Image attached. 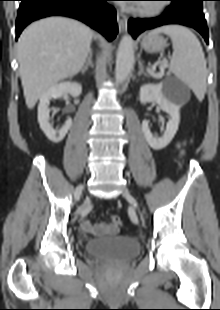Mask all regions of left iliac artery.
Here are the masks:
<instances>
[{"instance_id": "1", "label": "left iliac artery", "mask_w": 220, "mask_h": 310, "mask_svg": "<svg viewBox=\"0 0 220 310\" xmlns=\"http://www.w3.org/2000/svg\"><path fill=\"white\" fill-rule=\"evenodd\" d=\"M128 215L134 224H138L139 220L133 207L128 208Z\"/></svg>"}]
</instances>
